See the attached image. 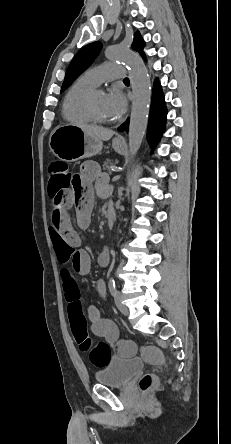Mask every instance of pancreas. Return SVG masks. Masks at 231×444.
<instances>
[{
  "instance_id": "pancreas-1",
  "label": "pancreas",
  "mask_w": 231,
  "mask_h": 444,
  "mask_svg": "<svg viewBox=\"0 0 231 444\" xmlns=\"http://www.w3.org/2000/svg\"><path fill=\"white\" fill-rule=\"evenodd\" d=\"M115 166V163L112 160H106L103 165L104 170L110 171Z\"/></svg>"
}]
</instances>
